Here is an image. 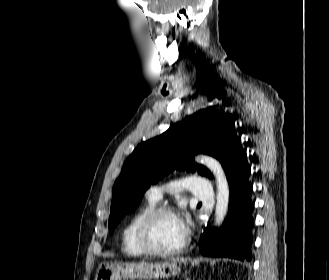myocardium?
I'll return each mask as SVG.
<instances>
[{
    "label": "myocardium",
    "mask_w": 329,
    "mask_h": 280,
    "mask_svg": "<svg viewBox=\"0 0 329 280\" xmlns=\"http://www.w3.org/2000/svg\"><path fill=\"white\" fill-rule=\"evenodd\" d=\"M162 214H171L176 215L175 210L166 205L156 206L148 211L143 218L140 220L137 229H136V240L142 250L150 255L154 256H172L181 253L186 245L187 238L186 236L182 240V242L170 249H161L158 248L151 237V229L154 221Z\"/></svg>",
    "instance_id": "1"
}]
</instances>
